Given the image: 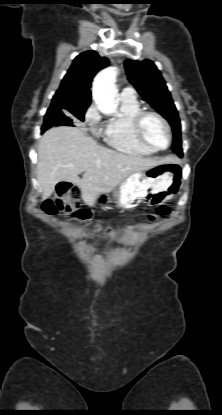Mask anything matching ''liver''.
<instances>
[{
  "label": "liver",
  "instance_id": "liver-1",
  "mask_svg": "<svg viewBox=\"0 0 222 415\" xmlns=\"http://www.w3.org/2000/svg\"><path fill=\"white\" fill-rule=\"evenodd\" d=\"M174 161L173 156L157 159L119 153L98 145L79 128L60 126L47 130L40 139L37 178L43 200L51 196L57 183L67 181L78 186L84 202L92 205L99 192L110 193L128 176Z\"/></svg>",
  "mask_w": 222,
  "mask_h": 415
}]
</instances>
